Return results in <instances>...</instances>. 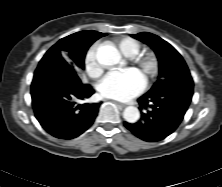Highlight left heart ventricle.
<instances>
[{
  "mask_svg": "<svg viewBox=\"0 0 222 187\" xmlns=\"http://www.w3.org/2000/svg\"><path fill=\"white\" fill-rule=\"evenodd\" d=\"M140 72L145 75V70L144 69H140Z\"/></svg>",
  "mask_w": 222,
  "mask_h": 187,
  "instance_id": "obj_1",
  "label": "left heart ventricle"
}]
</instances>
